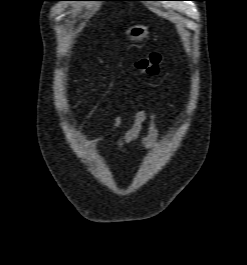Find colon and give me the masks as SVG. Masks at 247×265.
Masks as SVG:
<instances>
[{"label": "colon", "instance_id": "5ec220e1", "mask_svg": "<svg viewBox=\"0 0 247 265\" xmlns=\"http://www.w3.org/2000/svg\"><path fill=\"white\" fill-rule=\"evenodd\" d=\"M163 57L161 54L152 52L149 55L140 58L134 63V67L145 75H157L160 70Z\"/></svg>", "mask_w": 247, "mask_h": 265}]
</instances>
